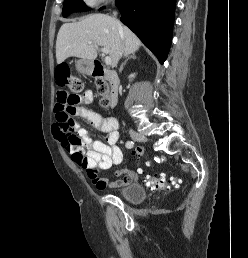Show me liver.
<instances>
[{
    "mask_svg": "<svg viewBox=\"0 0 248 258\" xmlns=\"http://www.w3.org/2000/svg\"><path fill=\"white\" fill-rule=\"evenodd\" d=\"M121 25V24H120ZM103 46L115 67L122 55L135 53L141 46L138 37L126 26L118 27V21L109 15L92 14L76 23L61 26L56 41L57 63L69 57H78L93 62L97 48Z\"/></svg>",
    "mask_w": 248,
    "mask_h": 258,
    "instance_id": "1",
    "label": "liver"
}]
</instances>
